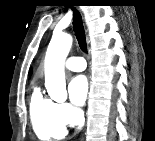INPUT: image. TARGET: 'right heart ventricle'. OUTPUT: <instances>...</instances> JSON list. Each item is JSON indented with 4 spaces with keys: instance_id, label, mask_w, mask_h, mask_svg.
<instances>
[{
    "instance_id": "obj_1",
    "label": "right heart ventricle",
    "mask_w": 155,
    "mask_h": 141,
    "mask_svg": "<svg viewBox=\"0 0 155 141\" xmlns=\"http://www.w3.org/2000/svg\"><path fill=\"white\" fill-rule=\"evenodd\" d=\"M29 111L33 130L39 139H59L65 136L66 125L58 118L57 103L45 97L38 87L31 93Z\"/></svg>"
}]
</instances>
